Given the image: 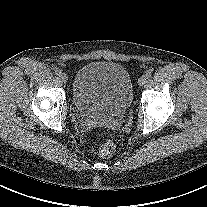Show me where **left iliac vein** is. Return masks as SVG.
<instances>
[{"mask_svg":"<svg viewBox=\"0 0 207 207\" xmlns=\"http://www.w3.org/2000/svg\"><path fill=\"white\" fill-rule=\"evenodd\" d=\"M146 76H141L139 79H138V84L139 86H143L145 83H146Z\"/></svg>","mask_w":207,"mask_h":207,"instance_id":"4c4485c4","label":"left iliac vein"}]
</instances>
